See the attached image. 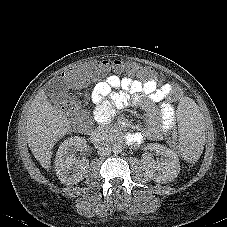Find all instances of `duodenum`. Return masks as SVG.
<instances>
[{
	"label": "duodenum",
	"instance_id": "410a0bca",
	"mask_svg": "<svg viewBox=\"0 0 227 227\" xmlns=\"http://www.w3.org/2000/svg\"><path fill=\"white\" fill-rule=\"evenodd\" d=\"M108 138V134L103 130H95L91 132L90 139L93 143L99 144Z\"/></svg>",
	"mask_w": 227,
	"mask_h": 227
}]
</instances>
